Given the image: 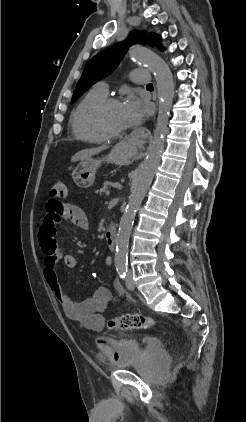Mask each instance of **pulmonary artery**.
Wrapping results in <instances>:
<instances>
[{
    "mask_svg": "<svg viewBox=\"0 0 246 422\" xmlns=\"http://www.w3.org/2000/svg\"><path fill=\"white\" fill-rule=\"evenodd\" d=\"M132 80L138 84H147L150 81V74L145 69H135L131 73ZM96 88L103 92H107V85L103 82L97 84Z\"/></svg>",
    "mask_w": 246,
    "mask_h": 422,
    "instance_id": "e3ab8cb5",
    "label": "pulmonary artery"
}]
</instances>
